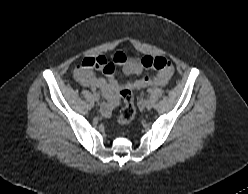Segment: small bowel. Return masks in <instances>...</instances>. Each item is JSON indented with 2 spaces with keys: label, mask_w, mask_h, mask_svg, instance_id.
Returning <instances> with one entry per match:
<instances>
[{
  "label": "small bowel",
  "mask_w": 248,
  "mask_h": 194,
  "mask_svg": "<svg viewBox=\"0 0 248 194\" xmlns=\"http://www.w3.org/2000/svg\"><path fill=\"white\" fill-rule=\"evenodd\" d=\"M143 60L144 58L128 56L121 51L116 52L111 61H108L104 56L87 57L74 70V78L84 87L100 90L107 98H110L122 87L140 90L167 85L173 74V65L170 62H168V69L157 70L158 72L154 76L146 75L125 85L116 81L114 78L116 66H119L126 75L140 74L146 69ZM92 62H96L98 66H88ZM96 71L102 72L103 76H98ZM111 109L112 103L107 102L102 106L101 111L104 116H108Z\"/></svg>",
  "instance_id": "1"
}]
</instances>
